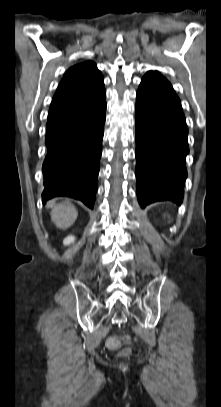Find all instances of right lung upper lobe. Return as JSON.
Masks as SVG:
<instances>
[{
  "label": "right lung upper lobe",
  "mask_w": 221,
  "mask_h": 407,
  "mask_svg": "<svg viewBox=\"0 0 221 407\" xmlns=\"http://www.w3.org/2000/svg\"><path fill=\"white\" fill-rule=\"evenodd\" d=\"M103 87V76L94 62L77 64L65 73L50 108L84 98Z\"/></svg>",
  "instance_id": "1"
}]
</instances>
